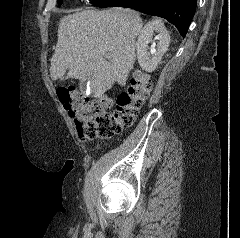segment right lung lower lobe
Returning <instances> with one entry per match:
<instances>
[{
	"instance_id": "98d812e1",
	"label": "right lung lower lobe",
	"mask_w": 240,
	"mask_h": 238,
	"mask_svg": "<svg viewBox=\"0 0 240 238\" xmlns=\"http://www.w3.org/2000/svg\"><path fill=\"white\" fill-rule=\"evenodd\" d=\"M98 7H128L173 23L185 37L195 14L197 0H97Z\"/></svg>"
}]
</instances>
